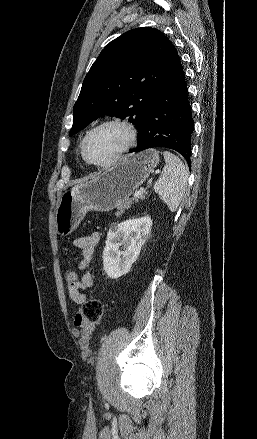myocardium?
I'll list each match as a JSON object with an SVG mask.
<instances>
[{"instance_id":"myocardium-1","label":"myocardium","mask_w":257,"mask_h":439,"mask_svg":"<svg viewBox=\"0 0 257 439\" xmlns=\"http://www.w3.org/2000/svg\"><path fill=\"white\" fill-rule=\"evenodd\" d=\"M107 126H116V127L121 128L125 132V135H126V144L119 152H117L109 160H107L105 162H95V161L91 160L88 156V153H87L88 143L95 132H97L98 130H100L104 127H107ZM136 140H137L136 130L134 129V127L130 123L123 121V120H116V119L105 120V121H102L101 123L97 124L96 126H94L86 134V136L83 140L82 148H81L82 157L86 161V163H88L89 165H91L93 167L108 168V167L112 166L113 164H115L118 160H120L127 152H129L134 147Z\"/></svg>"}]
</instances>
